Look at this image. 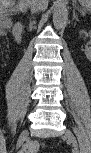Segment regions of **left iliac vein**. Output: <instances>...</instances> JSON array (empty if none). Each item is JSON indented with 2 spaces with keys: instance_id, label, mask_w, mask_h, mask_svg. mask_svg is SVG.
Segmentation results:
<instances>
[{
  "instance_id": "obj_1",
  "label": "left iliac vein",
  "mask_w": 91,
  "mask_h": 153,
  "mask_svg": "<svg viewBox=\"0 0 91 153\" xmlns=\"http://www.w3.org/2000/svg\"><path fill=\"white\" fill-rule=\"evenodd\" d=\"M64 137L74 146L76 153H81L78 147L77 140L74 134L70 130H66L64 133Z\"/></svg>"
}]
</instances>
